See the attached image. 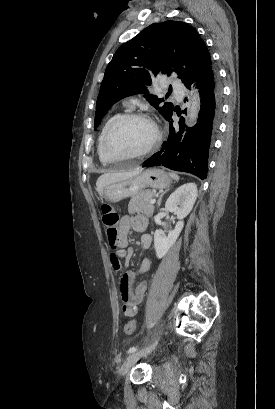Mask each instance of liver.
Returning a JSON list of instances; mask_svg holds the SVG:
<instances>
[{
  "label": "liver",
  "instance_id": "obj_1",
  "mask_svg": "<svg viewBox=\"0 0 275 409\" xmlns=\"http://www.w3.org/2000/svg\"><path fill=\"white\" fill-rule=\"evenodd\" d=\"M141 170L142 168H134V170H130V172H105V174H101L96 180L98 194L102 196L103 188H105L107 184H112V182H118V180H125V178L140 174Z\"/></svg>",
  "mask_w": 275,
  "mask_h": 409
}]
</instances>
